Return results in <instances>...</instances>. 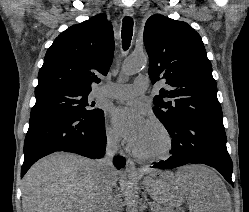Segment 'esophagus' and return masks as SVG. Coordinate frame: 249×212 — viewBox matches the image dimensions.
<instances>
[{
    "instance_id": "esophagus-1",
    "label": "esophagus",
    "mask_w": 249,
    "mask_h": 212,
    "mask_svg": "<svg viewBox=\"0 0 249 212\" xmlns=\"http://www.w3.org/2000/svg\"><path fill=\"white\" fill-rule=\"evenodd\" d=\"M123 11H124V14L127 15V16L131 17V16L134 15V9L132 7H125ZM125 170L130 175L131 174H135V175H139L140 174V172H138L136 170L135 163L133 162L132 159H127Z\"/></svg>"
}]
</instances>
